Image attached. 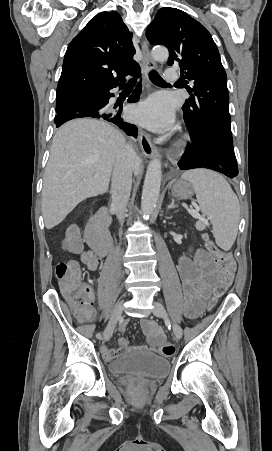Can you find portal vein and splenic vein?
Here are the masks:
<instances>
[{
	"label": "portal vein and splenic vein",
	"mask_w": 272,
	"mask_h": 451,
	"mask_svg": "<svg viewBox=\"0 0 272 451\" xmlns=\"http://www.w3.org/2000/svg\"><path fill=\"white\" fill-rule=\"evenodd\" d=\"M188 212L189 214H191V216H193V218H197V220H199V218H201L200 214H198L197 210H190V208H188Z\"/></svg>",
	"instance_id": "1"
}]
</instances>
